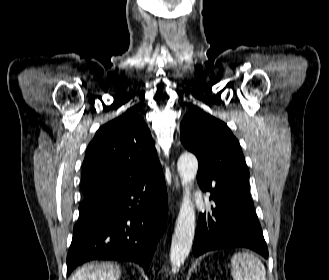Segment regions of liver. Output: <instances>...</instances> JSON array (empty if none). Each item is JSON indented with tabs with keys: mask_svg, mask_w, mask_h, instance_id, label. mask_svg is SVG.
Instances as JSON below:
<instances>
[{
	"mask_svg": "<svg viewBox=\"0 0 329 280\" xmlns=\"http://www.w3.org/2000/svg\"><path fill=\"white\" fill-rule=\"evenodd\" d=\"M121 270L112 263H88L81 267L69 280H118Z\"/></svg>",
	"mask_w": 329,
	"mask_h": 280,
	"instance_id": "1",
	"label": "liver"
}]
</instances>
